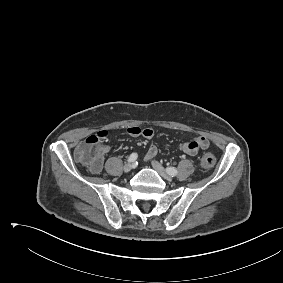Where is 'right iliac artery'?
I'll return each mask as SVG.
<instances>
[{
	"label": "right iliac artery",
	"instance_id": "right-iliac-artery-1",
	"mask_svg": "<svg viewBox=\"0 0 283 283\" xmlns=\"http://www.w3.org/2000/svg\"><path fill=\"white\" fill-rule=\"evenodd\" d=\"M138 155L137 153H132L129 157H128V162H134L136 161Z\"/></svg>",
	"mask_w": 283,
	"mask_h": 283
}]
</instances>
